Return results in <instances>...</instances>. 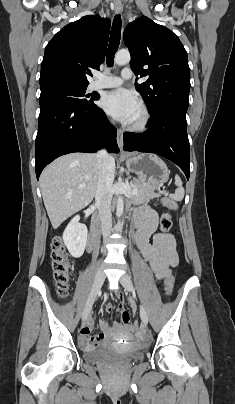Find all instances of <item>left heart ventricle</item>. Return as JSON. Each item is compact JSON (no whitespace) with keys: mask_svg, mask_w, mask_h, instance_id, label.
Returning a JSON list of instances; mask_svg holds the SVG:
<instances>
[{"mask_svg":"<svg viewBox=\"0 0 235 404\" xmlns=\"http://www.w3.org/2000/svg\"><path fill=\"white\" fill-rule=\"evenodd\" d=\"M138 116H139V113L137 114V116L135 117V119H134V120H136Z\"/></svg>","mask_w":235,"mask_h":404,"instance_id":"1","label":"left heart ventricle"}]
</instances>
